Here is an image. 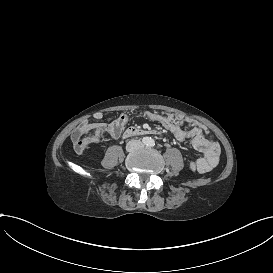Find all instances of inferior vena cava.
<instances>
[{"mask_svg": "<svg viewBox=\"0 0 273 273\" xmlns=\"http://www.w3.org/2000/svg\"><path fill=\"white\" fill-rule=\"evenodd\" d=\"M134 143H139V144H142L140 141L138 140H131L129 143H128V148H134L135 145Z\"/></svg>", "mask_w": 273, "mask_h": 273, "instance_id": "obj_1", "label": "inferior vena cava"}]
</instances>
